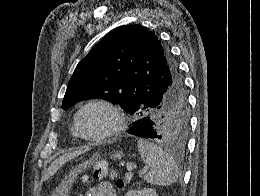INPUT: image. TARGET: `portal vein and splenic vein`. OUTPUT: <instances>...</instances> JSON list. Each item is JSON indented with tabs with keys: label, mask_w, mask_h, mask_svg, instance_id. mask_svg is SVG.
<instances>
[{
	"label": "portal vein and splenic vein",
	"mask_w": 260,
	"mask_h": 196,
	"mask_svg": "<svg viewBox=\"0 0 260 196\" xmlns=\"http://www.w3.org/2000/svg\"><path fill=\"white\" fill-rule=\"evenodd\" d=\"M127 170H129V174H132L131 170H133V168H137V166H134V164H132V162H127V166H126ZM145 172H147V170H139V174H145ZM133 176V174H132Z\"/></svg>",
	"instance_id": "portal-vein-and-splenic-vein-1"
}]
</instances>
